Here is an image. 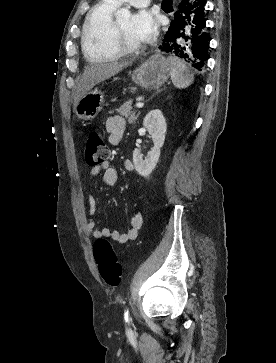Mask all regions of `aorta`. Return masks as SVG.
Listing matches in <instances>:
<instances>
[{"mask_svg": "<svg viewBox=\"0 0 276 363\" xmlns=\"http://www.w3.org/2000/svg\"><path fill=\"white\" fill-rule=\"evenodd\" d=\"M131 13L128 8H121L116 12V18L118 20L130 18Z\"/></svg>", "mask_w": 276, "mask_h": 363, "instance_id": "1", "label": "aorta"}]
</instances>
